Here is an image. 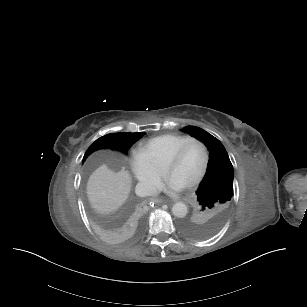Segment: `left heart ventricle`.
Returning <instances> with one entry per match:
<instances>
[{"label":"left heart ventricle","instance_id":"left-heart-ventricle-1","mask_svg":"<svg viewBox=\"0 0 307 307\" xmlns=\"http://www.w3.org/2000/svg\"><path fill=\"white\" fill-rule=\"evenodd\" d=\"M204 163V149L198 142L188 145L181 159L167 170V176L185 186L199 173Z\"/></svg>","mask_w":307,"mask_h":307}]
</instances>
